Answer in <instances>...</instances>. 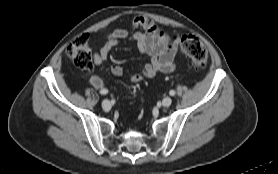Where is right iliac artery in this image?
I'll return each mask as SVG.
<instances>
[{"mask_svg":"<svg viewBox=\"0 0 278 174\" xmlns=\"http://www.w3.org/2000/svg\"><path fill=\"white\" fill-rule=\"evenodd\" d=\"M107 93H108V91H107L106 89L100 90V94H102V95H105V94H107Z\"/></svg>","mask_w":278,"mask_h":174,"instance_id":"right-iliac-artery-1","label":"right iliac artery"}]
</instances>
